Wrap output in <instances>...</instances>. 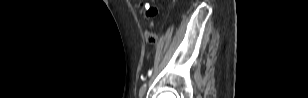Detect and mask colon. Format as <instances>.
<instances>
[{
	"label": "colon",
	"instance_id": "1",
	"mask_svg": "<svg viewBox=\"0 0 308 98\" xmlns=\"http://www.w3.org/2000/svg\"><path fill=\"white\" fill-rule=\"evenodd\" d=\"M155 13H156V11H155L154 9H151V10H149V11L147 12V15L152 16V15H154ZM146 38H147V40L150 41V42H154V41H155V35L152 34V33L146 34Z\"/></svg>",
	"mask_w": 308,
	"mask_h": 98
}]
</instances>
